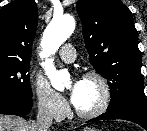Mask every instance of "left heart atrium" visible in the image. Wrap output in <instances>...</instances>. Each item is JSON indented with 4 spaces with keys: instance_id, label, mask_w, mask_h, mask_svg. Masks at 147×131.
I'll return each mask as SVG.
<instances>
[{
    "instance_id": "obj_1",
    "label": "left heart atrium",
    "mask_w": 147,
    "mask_h": 131,
    "mask_svg": "<svg viewBox=\"0 0 147 131\" xmlns=\"http://www.w3.org/2000/svg\"><path fill=\"white\" fill-rule=\"evenodd\" d=\"M83 89V79H77L75 80L69 91L70 100L74 106H77L80 100L81 92Z\"/></svg>"
}]
</instances>
